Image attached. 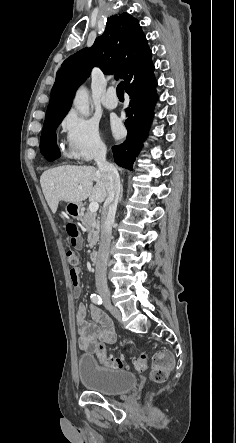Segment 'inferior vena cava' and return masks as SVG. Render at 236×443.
Returning <instances> with one entry per match:
<instances>
[{"mask_svg":"<svg viewBox=\"0 0 236 443\" xmlns=\"http://www.w3.org/2000/svg\"><path fill=\"white\" fill-rule=\"evenodd\" d=\"M98 171L106 184L107 196L102 210L101 236L96 262L95 281L98 293L104 303L109 302L107 286V261L111 242L112 225L120 195V177L114 165L106 161V147H102L95 156Z\"/></svg>","mask_w":236,"mask_h":443,"instance_id":"obj_1","label":"inferior vena cava"}]
</instances>
